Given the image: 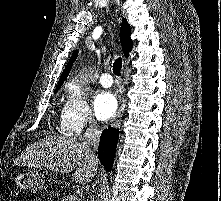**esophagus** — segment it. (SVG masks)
<instances>
[{"instance_id": "obj_1", "label": "esophagus", "mask_w": 221, "mask_h": 201, "mask_svg": "<svg viewBox=\"0 0 221 201\" xmlns=\"http://www.w3.org/2000/svg\"><path fill=\"white\" fill-rule=\"evenodd\" d=\"M124 110H125V100L122 97L120 99V106H119V109L117 111L116 117H115V119L113 120V123H112L113 126H118L120 124V119H121V117L124 113Z\"/></svg>"}]
</instances>
